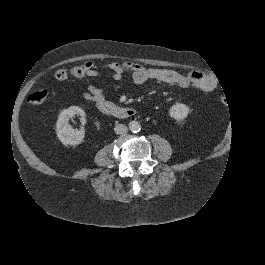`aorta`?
Instances as JSON below:
<instances>
[{
    "mask_svg": "<svg viewBox=\"0 0 265 265\" xmlns=\"http://www.w3.org/2000/svg\"><path fill=\"white\" fill-rule=\"evenodd\" d=\"M129 129L133 132V133H137L141 130V125L138 121H131L129 123Z\"/></svg>",
    "mask_w": 265,
    "mask_h": 265,
    "instance_id": "1",
    "label": "aorta"
}]
</instances>
